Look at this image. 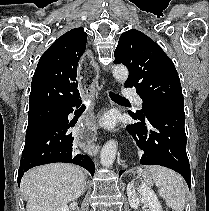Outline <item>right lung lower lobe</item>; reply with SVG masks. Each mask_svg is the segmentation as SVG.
<instances>
[{
	"instance_id": "1",
	"label": "right lung lower lobe",
	"mask_w": 209,
	"mask_h": 211,
	"mask_svg": "<svg viewBox=\"0 0 209 211\" xmlns=\"http://www.w3.org/2000/svg\"><path fill=\"white\" fill-rule=\"evenodd\" d=\"M80 104L78 100L64 105L52 121L26 141L18 170V185L30 168L55 162L77 164L94 175L93 161L89 156L75 152L73 136L69 130L76 122H69L68 115L73 112V107L78 108Z\"/></svg>"
}]
</instances>
